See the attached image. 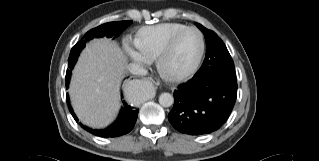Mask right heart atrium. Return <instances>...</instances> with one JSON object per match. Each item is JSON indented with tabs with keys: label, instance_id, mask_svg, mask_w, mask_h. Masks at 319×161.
<instances>
[{
	"label": "right heart atrium",
	"instance_id": "d8ad5b80",
	"mask_svg": "<svg viewBox=\"0 0 319 161\" xmlns=\"http://www.w3.org/2000/svg\"><path fill=\"white\" fill-rule=\"evenodd\" d=\"M127 54L130 59L138 62H147L148 60L142 57L137 51L128 49Z\"/></svg>",
	"mask_w": 319,
	"mask_h": 161
}]
</instances>
